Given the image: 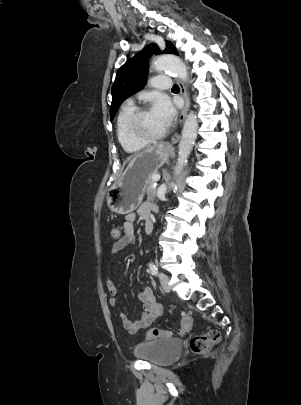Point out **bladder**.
<instances>
[{
    "label": "bladder",
    "mask_w": 301,
    "mask_h": 405,
    "mask_svg": "<svg viewBox=\"0 0 301 405\" xmlns=\"http://www.w3.org/2000/svg\"><path fill=\"white\" fill-rule=\"evenodd\" d=\"M182 351V343L177 339L156 338L143 341L134 347L136 357L150 364L165 366L174 362Z\"/></svg>",
    "instance_id": "31cf9c89"
}]
</instances>
